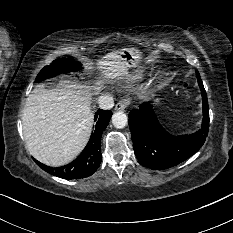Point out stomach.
<instances>
[{
	"instance_id": "stomach-1",
	"label": "stomach",
	"mask_w": 233,
	"mask_h": 233,
	"mask_svg": "<svg viewBox=\"0 0 233 233\" xmlns=\"http://www.w3.org/2000/svg\"><path fill=\"white\" fill-rule=\"evenodd\" d=\"M118 52L121 55V57L127 62L128 67H133L136 65L141 53L136 48H124ZM156 101L158 102V99Z\"/></svg>"
}]
</instances>
